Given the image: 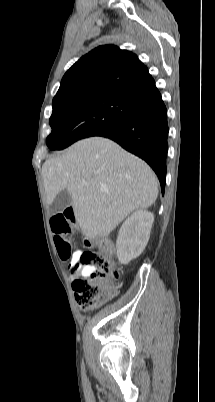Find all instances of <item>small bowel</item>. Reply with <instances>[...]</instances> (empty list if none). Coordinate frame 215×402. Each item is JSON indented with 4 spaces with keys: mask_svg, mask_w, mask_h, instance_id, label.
Wrapping results in <instances>:
<instances>
[{
    "mask_svg": "<svg viewBox=\"0 0 215 402\" xmlns=\"http://www.w3.org/2000/svg\"><path fill=\"white\" fill-rule=\"evenodd\" d=\"M80 255V252H75L72 256L71 263L68 267L69 270V275L74 283L75 280L83 278V277H88L92 271L94 270L93 266H85V267H75V262Z\"/></svg>",
    "mask_w": 215,
    "mask_h": 402,
    "instance_id": "c3829d8e",
    "label": "small bowel"
}]
</instances>
